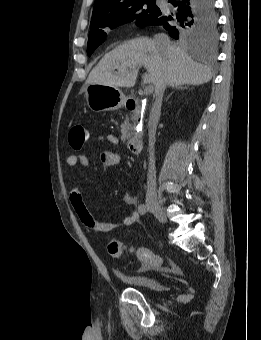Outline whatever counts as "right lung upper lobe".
<instances>
[{
  "instance_id": "1",
  "label": "right lung upper lobe",
  "mask_w": 261,
  "mask_h": 340,
  "mask_svg": "<svg viewBox=\"0 0 261 340\" xmlns=\"http://www.w3.org/2000/svg\"><path fill=\"white\" fill-rule=\"evenodd\" d=\"M143 0H95L91 21L100 20L108 15L114 14L122 7Z\"/></svg>"
}]
</instances>
